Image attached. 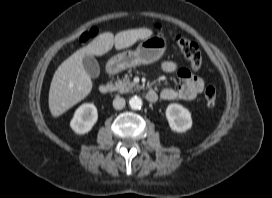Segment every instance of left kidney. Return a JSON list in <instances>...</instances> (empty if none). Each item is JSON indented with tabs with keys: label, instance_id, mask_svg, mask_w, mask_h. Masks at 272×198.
<instances>
[{
	"label": "left kidney",
	"instance_id": "5707ae66",
	"mask_svg": "<svg viewBox=\"0 0 272 198\" xmlns=\"http://www.w3.org/2000/svg\"><path fill=\"white\" fill-rule=\"evenodd\" d=\"M165 114L172 131L177 133H184L191 129V113L182 105L177 103L168 105Z\"/></svg>",
	"mask_w": 272,
	"mask_h": 198
}]
</instances>
